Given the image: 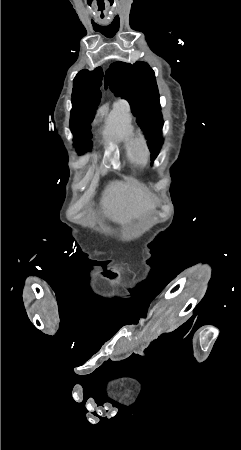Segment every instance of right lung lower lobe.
Segmentation results:
<instances>
[{
  "label": "right lung lower lobe",
  "mask_w": 241,
  "mask_h": 450,
  "mask_svg": "<svg viewBox=\"0 0 241 450\" xmlns=\"http://www.w3.org/2000/svg\"><path fill=\"white\" fill-rule=\"evenodd\" d=\"M93 118L94 116H92L90 112H86L79 118V121L77 122V126L73 134L76 140L81 142L78 150H82L89 146L90 141L88 139L91 134L90 123L92 122Z\"/></svg>",
  "instance_id": "98d812e1"
}]
</instances>
